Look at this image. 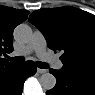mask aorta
I'll return each mask as SVG.
<instances>
[{
  "instance_id": "aorta-1",
  "label": "aorta",
  "mask_w": 95,
  "mask_h": 95,
  "mask_svg": "<svg viewBox=\"0 0 95 95\" xmlns=\"http://www.w3.org/2000/svg\"><path fill=\"white\" fill-rule=\"evenodd\" d=\"M14 36L18 41L28 42L32 37V29L26 24H20L15 28ZM39 81L44 90H51L56 85V78L51 73L42 74Z\"/></svg>"
}]
</instances>
